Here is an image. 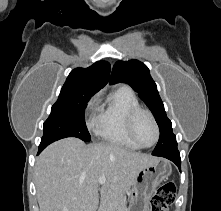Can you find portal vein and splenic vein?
<instances>
[{
  "instance_id": "1",
  "label": "portal vein and splenic vein",
  "mask_w": 221,
  "mask_h": 211,
  "mask_svg": "<svg viewBox=\"0 0 221 211\" xmlns=\"http://www.w3.org/2000/svg\"><path fill=\"white\" fill-rule=\"evenodd\" d=\"M105 181H106V177H105V176H101V177H99V179H98V183L101 184V185L104 184Z\"/></svg>"
}]
</instances>
